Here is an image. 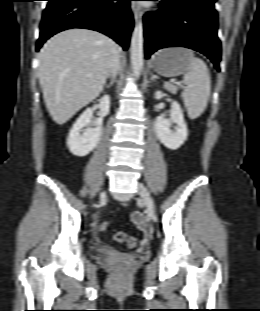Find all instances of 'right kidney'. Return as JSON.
I'll return each instance as SVG.
<instances>
[{
	"instance_id": "ca27d5eb",
	"label": "right kidney",
	"mask_w": 260,
	"mask_h": 311,
	"mask_svg": "<svg viewBox=\"0 0 260 311\" xmlns=\"http://www.w3.org/2000/svg\"><path fill=\"white\" fill-rule=\"evenodd\" d=\"M100 117L95 121L93 108H87L76 120L67 138V146L70 152L78 157L88 155L98 144L102 134L103 118L109 113L110 99L105 95L100 100ZM93 124L95 128L83 130V127Z\"/></svg>"
}]
</instances>
